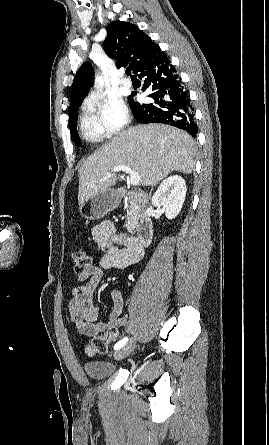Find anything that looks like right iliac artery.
I'll list each match as a JSON object with an SVG mask.
<instances>
[{
  "mask_svg": "<svg viewBox=\"0 0 269 445\" xmlns=\"http://www.w3.org/2000/svg\"><path fill=\"white\" fill-rule=\"evenodd\" d=\"M127 341H128L127 337L123 338L122 340H120L119 342H117L115 344L114 349L118 350V349L122 348L126 344Z\"/></svg>",
  "mask_w": 269,
  "mask_h": 445,
  "instance_id": "obj_1",
  "label": "right iliac artery"
}]
</instances>
